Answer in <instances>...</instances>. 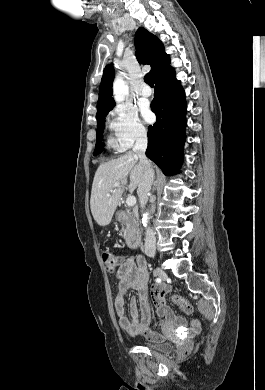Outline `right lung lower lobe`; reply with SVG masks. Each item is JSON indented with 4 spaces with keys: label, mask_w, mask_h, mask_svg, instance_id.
Wrapping results in <instances>:
<instances>
[{
    "label": "right lung lower lobe",
    "mask_w": 265,
    "mask_h": 390,
    "mask_svg": "<svg viewBox=\"0 0 265 390\" xmlns=\"http://www.w3.org/2000/svg\"><path fill=\"white\" fill-rule=\"evenodd\" d=\"M154 82L151 109L157 120L149 126L146 156L169 176L177 173L183 161L187 109L185 92L172 67L163 70Z\"/></svg>",
    "instance_id": "1"
}]
</instances>
